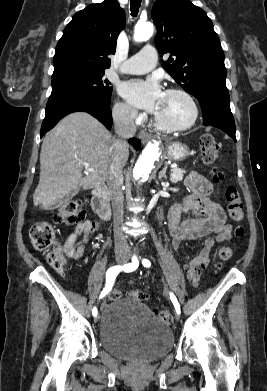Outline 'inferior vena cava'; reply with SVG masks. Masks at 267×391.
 <instances>
[{
	"instance_id": "obj_1",
	"label": "inferior vena cava",
	"mask_w": 267,
	"mask_h": 391,
	"mask_svg": "<svg viewBox=\"0 0 267 391\" xmlns=\"http://www.w3.org/2000/svg\"><path fill=\"white\" fill-rule=\"evenodd\" d=\"M114 129L118 136L112 145V160L109 167L108 186L111 192L112 209L114 215V238L115 251L127 252L128 244L126 237L120 229L123 222V201L122 192L123 184V158L125 151L128 150L127 140L132 138L136 133V125L134 123L135 113L124 111L116 113L113 116Z\"/></svg>"
}]
</instances>
